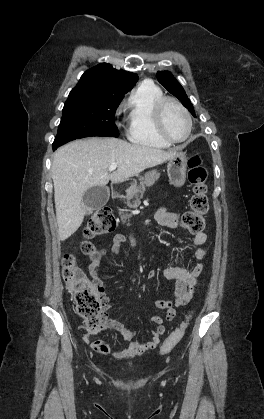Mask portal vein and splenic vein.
<instances>
[{"label": "portal vein and splenic vein", "instance_id": "18ae733b", "mask_svg": "<svg viewBox=\"0 0 264 419\" xmlns=\"http://www.w3.org/2000/svg\"><path fill=\"white\" fill-rule=\"evenodd\" d=\"M117 168V163H112L110 166H109V171H114L115 169Z\"/></svg>", "mask_w": 264, "mask_h": 419}]
</instances>
